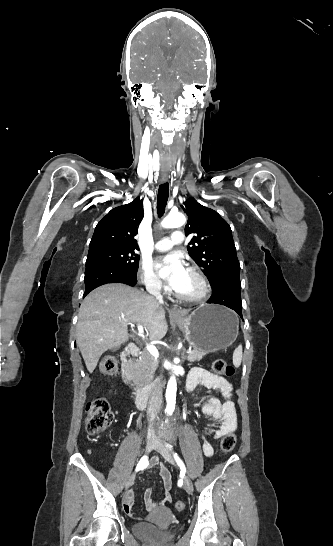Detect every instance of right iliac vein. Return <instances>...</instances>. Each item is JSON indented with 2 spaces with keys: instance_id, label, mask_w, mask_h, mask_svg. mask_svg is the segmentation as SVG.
I'll return each instance as SVG.
<instances>
[{
  "instance_id": "1",
  "label": "right iliac vein",
  "mask_w": 333,
  "mask_h": 546,
  "mask_svg": "<svg viewBox=\"0 0 333 546\" xmlns=\"http://www.w3.org/2000/svg\"><path fill=\"white\" fill-rule=\"evenodd\" d=\"M155 443H156L155 436L149 435L146 442V452H150L154 448ZM134 480H135V474H132L126 482V485H125L126 489L130 488L133 485Z\"/></svg>"
}]
</instances>
